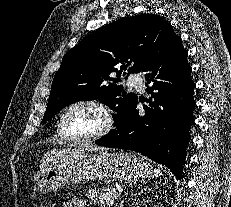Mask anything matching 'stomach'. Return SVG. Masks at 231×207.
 Wrapping results in <instances>:
<instances>
[{
	"mask_svg": "<svg viewBox=\"0 0 231 207\" xmlns=\"http://www.w3.org/2000/svg\"><path fill=\"white\" fill-rule=\"evenodd\" d=\"M153 169L143 158L128 152L74 151L63 154L34 177L41 194L56 191L68 183L85 180L137 182L152 176Z\"/></svg>",
	"mask_w": 231,
	"mask_h": 207,
	"instance_id": "1",
	"label": "stomach"
}]
</instances>
